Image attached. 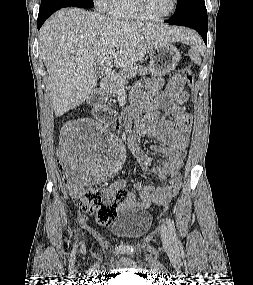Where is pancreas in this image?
Listing matches in <instances>:
<instances>
[{
	"label": "pancreas",
	"mask_w": 253,
	"mask_h": 285,
	"mask_svg": "<svg viewBox=\"0 0 253 285\" xmlns=\"http://www.w3.org/2000/svg\"><path fill=\"white\" fill-rule=\"evenodd\" d=\"M148 73L147 68H143L142 66L131 65L124 67L118 73L109 77L105 85L103 87L102 96L105 103H108L109 97L117 95L119 89L128 84V80L134 78L138 75H145Z\"/></svg>",
	"instance_id": "pancreas-1"
}]
</instances>
